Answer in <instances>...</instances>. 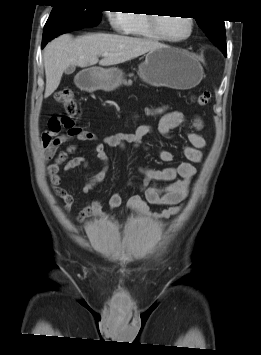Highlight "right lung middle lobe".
Masks as SVG:
<instances>
[{
	"instance_id": "right-lung-middle-lobe-1",
	"label": "right lung middle lobe",
	"mask_w": 261,
	"mask_h": 355,
	"mask_svg": "<svg viewBox=\"0 0 261 355\" xmlns=\"http://www.w3.org/2000/svg\"><path fill=\"white\" fill-rule=\"evenodd\" d=\"M101 15L102 10L90 0H66L53 6L44 30L63 24L94 27L100 23Z\"/></svg>"
}]
</instances>
